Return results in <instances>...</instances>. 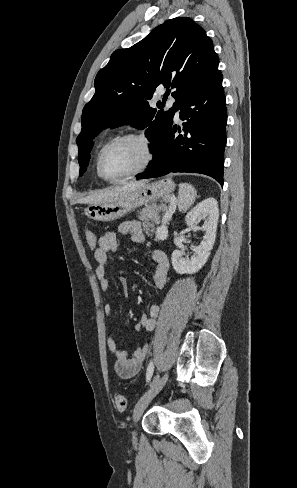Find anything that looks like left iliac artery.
Masks as SVG:
<instances>
[{"label":"left iliac artery","instance_id":"left-iliac-artery-1","mask_svg":"<svg viewBox=\"0 0 297 488\" xmlns=\"http://www.w3.org/2000/svg\"><path fill=\"white\" fill-rule=\"evenodd\" d=\"M153 371H154V364H153V361H151L148 365V368H147V372H146V379L147 381H149L153 375ZM159 379V375H157L155 378H154V381L158 380Z\"/></svg>","mask_w":297,"mask_h":488}]
</instances>
